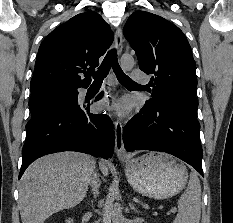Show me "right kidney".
Wrapping results in <instances>:
<instances>
[{"mask_svg": "<svg viewBox=\"0 0 233 223\" xmlns=\"http://www.w3.org/2000/svg\"><path fill=\"white\" fill-rule=\"evenodd\" d=\"M66 223H73V219H71V217H68V219H66Z\"/></svg>", "mask_w": 233, "mask_h": 223, "instance_id": "obj_1", "label": "right kidney"}]
</instances>
